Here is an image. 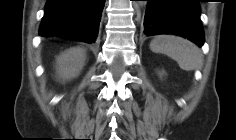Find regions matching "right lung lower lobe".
I'll return each mask as SVG.
<instances>
[{"instance_id":"right-lung-lower-lobe-1","label":"right lung lower lobe","mask_w":236,"mask_h":140,"mask_svg":"<svg viewBox=\"0 0 236 140\" xmlns=\"http://www.w3.org/2000/svg\"><path fill=\"white\" fill-rule=\"evenodd\" d=\"M105 0H47L41 36H60L93 43Z\"/></svg>"}]
</instances>
